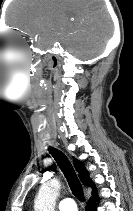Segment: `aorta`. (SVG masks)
Wrapping results in <instances>:
<instances>
[{
    "instance_id": "aorta-1",
    "label": "aorta",
    "mask_w": 133,
    "mask_h": 211,
    "mask_svg": "<svg viewBox=\"0 0 133 211\" xmlns=\"http://www.w3.org/2000/svg\"><path fill=\"white\" fill-rule=\"evenodd\" d=\"M61 184L58 180L53 179L44 183L35 199V211H55L56 199L59 194Z\"/></svg>"
}]
</instances>
